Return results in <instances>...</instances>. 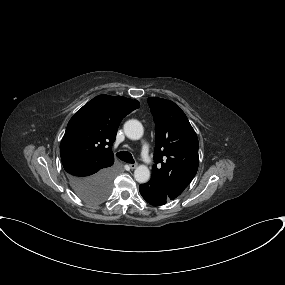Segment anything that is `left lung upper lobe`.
Masks as SVG:
<instances>
[{
    "label": "left lung upper lobe",
    "instance_id": "left-lung-upper-lobe-1",
    "mask_svg": "<svg viewBox=\"0 0 285 285\" xmlns=\"http://www.w3.org/2000/svg\"><path fill=\"white\" fill-rule=\"evenodd\" d=\"M148 104L156 135L151 179L162 184L167 193L176 198L197 172L198 138L185 113L174 102L150 97Z\"/></svg>",
    "mask_w": 285,
    "mask_h": 285
}]
</instances>
